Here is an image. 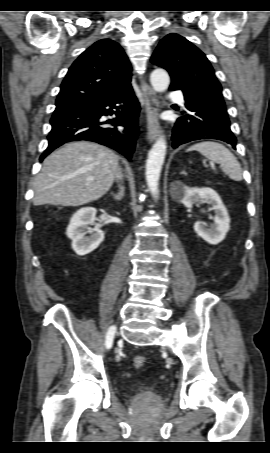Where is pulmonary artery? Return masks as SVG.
I'll return each instance as SVG.
<instances>
[{"mask_svg": "<svg viewBox=\"0 0 270 453\" xmlns=\"http://www.w3.org/2000/svg\"><path fill=\"white\" fill-rule=\"evenodd\" d=\"M170 98L173 99V100H177V101H179L181 103L184 102V99H183V96H182L181 92H178V91L171 92Z\"/></svg>", "mask_w": 270, "mask_h": 453, "instance_id": "1", "label": "pulmonary artery"}]
</instances>
